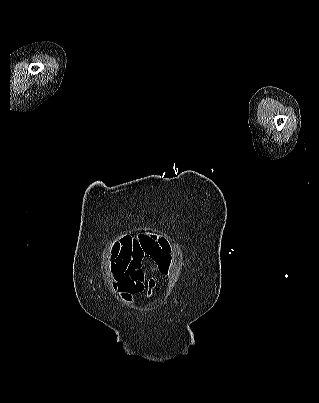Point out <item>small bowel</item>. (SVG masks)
I'll return each mask as SVG.
<instances>
[{"instance_id": "1", "label": "small bowel", "mask_w": 319, "mask_h": 403, "mask_svg": "<svg viewBox=\"0 0 319 403\" xmlns=\"http://www.w3.org/2000/svg\"><path fill=\"white\" fill-rule=\"evenodd\" d=\"M144 258L154 262L160 272H166L171 262L169 242L155 234L123 237L117 242L108 260L107 266L114 287L129 300L145 288ZM155 286L154 280L147 284L150 290Z\"/></svg>"}]
</instances>
